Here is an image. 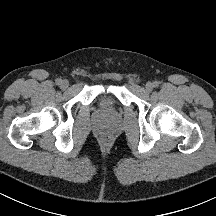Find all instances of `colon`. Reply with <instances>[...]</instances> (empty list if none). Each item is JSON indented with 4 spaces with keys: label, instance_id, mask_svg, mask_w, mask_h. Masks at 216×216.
Wrapping results in <instances>:
<instances>
[{
    "label": "colon",
    "instance_id": "5ec220e1",
    "mask_svg": "<svg viewBox=\"0 0 216 216\" xmlns=\"http://www.w3.org/2000/svg\"><path fill=\"white\" fill-rule=\"evenodd\" d=\"M102 140H103L104 142H109L110 137H109L108 135H104V136L102 137Z\"/></svg>",
    "mask_w": 216,
    "mask_h": 216
}]
</instances>
